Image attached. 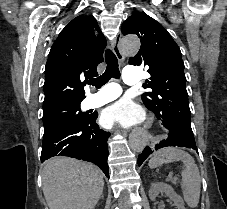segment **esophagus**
Returning <instances> with one entry per match:
<instances>
[{"instance_id": "esophagus-1", "label": "esophagus", "mask_w": 227, "mask_h": 209, "mask_svg": "<svg viewBox=\"0 0 227 209\" xmlns=\"http://www.w3.org/2000/svg\"><path fill=\"white\" fill-rule=\"evenodd\" d=\"M121 32H118L115 39L113 40L112 43V48H113V52L116 55L117 59L119 60V62H124L125 60V56L123 55V53L120 50V40H121ZM149 128L151 127V124L148 123ZM155 138H148V140L146 141V146H149L151 149L155 146Z\"/></svg>"}]
</instances>
